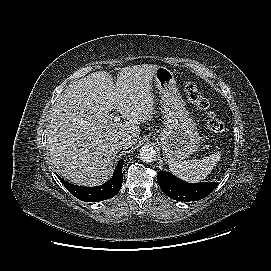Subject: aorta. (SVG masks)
<instances>
[{
	"instance_id": "762f6f07",
	"label": "aorta",
	"mask_w": 271,
	"mask_h": 271,
	"mask_svg": "<svg viewBox=\"0 0 271 271\" xmlns=\"http://www.w3.org/2000/svg\"><path fill=\"white\" fill-rule=\"evenodd\" d=\"M140 157L144 162H152L156 159V151L150 145H144L140 149Z\"/></svg>"
}]
</instances>
